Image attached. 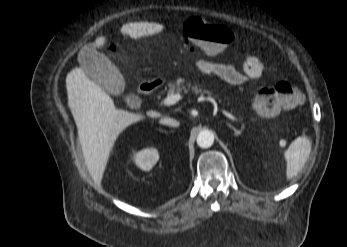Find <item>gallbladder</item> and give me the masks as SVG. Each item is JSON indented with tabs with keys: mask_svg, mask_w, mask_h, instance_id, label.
Returning a JSON list of instances; mask_svg holds the SVG:
<instances>
[{
	"mask_svg": "<svg viewBox=\"0 0 347 247\" xmlns=\"http://www.w3.org/2000/svg\"><path fill=\"white\" fill-rule=\"evenodd\" d=\"M78 61L85 74L108 94L121 96L125 89L123 75L118 68L95 47L88 45L78 55ZM128 106L133 107L137 101L136 96H125Z\"/></svg>",
	"mask_w": 347,
	"mask_h": 247,
	"instance_id": "gallbladder-1",
	"label": "gallbladder"
}]
</instances>
